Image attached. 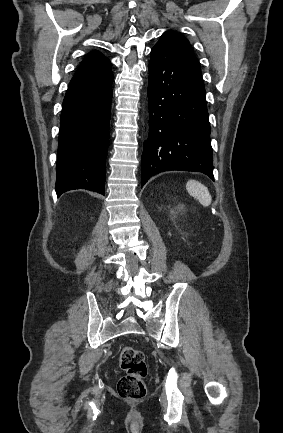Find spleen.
Returning a JSON list of instances; mask_svg holds the SVG:
<instances>
[{"mask_svg":"<svg viewBox=\"0 0 283 433\" xmlns=\"http://www.w3.org/2000/svg\"><path fill=\"white\" fill-rule=\"evenodd\" d=\"M186 188L189 194L197 198L203 206H209V204H211L212 196L207 186L201 184L199 180H188V182H186Z\"/></svg>","mask_w":283,"mask_h":433,"instance_id":"spleen-1","label":"spleen"}]
</instances>
